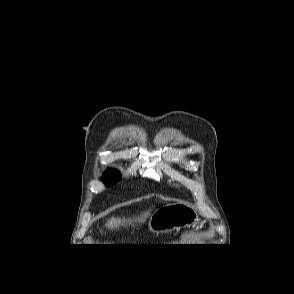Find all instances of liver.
<instances>
[{
  "label": "liver",
  "mask_w": 294,
  "mask_h": 294,
  "mask_svg": "<svg viewBox=\"0 0 294 294\" xmlns=\"http://www.w3.org/2000/svg\"><path fill=\"white\" fill-rule=\"evenodd\" d=\"M151 215L150 211H146L144 213H142L140 215V217L138 218H129V219H126V218H120V217H112L110 218L107 223L105 224V226L108 228V229H117L119 228L121 225L124 226V227H127L128 224L130 225H134V223H137V221L139 223H144L147 218Z\"/></svg>",
  "instance_id": "6515ba94"
}]
</instances>
